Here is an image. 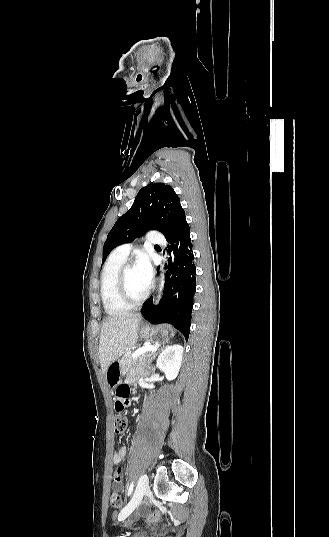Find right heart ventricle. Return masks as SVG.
<instances>
[{
    "mask_svg": "<svg viewBox=\"0 0 329 537\" xmlns=\"http://www.w3.org/2000/svg\"><path fill=\"white\" fill-rule=\"evenodd\" d=\"M125 259L112 254L105 263L100 282V294L104 309L109 315H121L127 313L131 307L120 298L117 277Z\"/></svg>",
    "mask_w": 329,
    "mask_h": 537,
    "instance_id": "e07e8e85",
    "label": "right heart ventricle"
}]
</instances>
